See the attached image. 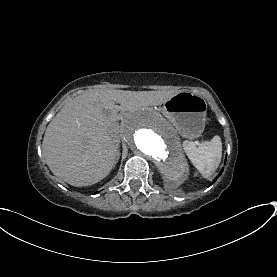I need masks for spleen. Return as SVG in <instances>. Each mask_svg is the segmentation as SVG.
<instances>
[{
  "label": "spleen",
  "instance_id": "3e777b00",
  "mask_svg": "<svg viewBox=\"0 0 277 277\" xmlns=\"http://www.w3.org/2000/svg\"><path fill=\"white\" fill-rule=\"evenodd\" d=\"M183 149L204 178L211 176L221 162L222 142L217 135L211 141L202 142L198 147L194 142L184 141Z\"/></svg>",
  "mask_w": 277,
  "mask_h": 277
}]
</instances>
